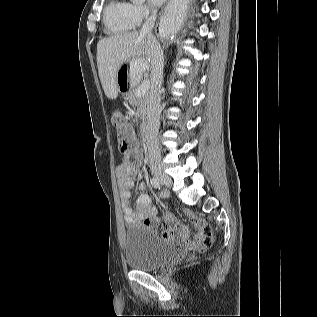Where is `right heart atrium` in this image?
Here are the masks:
<instances>
[{"label": "right heart atrium", "mask_w": 317, "mask_h": 317, "mask_svg": "<svg viewBox=\"0 0 317 317\" xmlns=\"http://www.w3.org/2000/svg\"><path fill=\"white\" fill-rule=\"evenodd\" d=\"M130 12L136 26L140 25L152 13V9L143 3H131Z\"/></svg>", "instance_id": "1"}]
</instances>
